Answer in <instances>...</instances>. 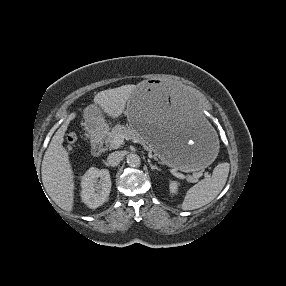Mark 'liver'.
Segmentation results:
<instances>
[{"label":"liver","mask_w":286,"mask_h":286,"mask_svg":"<svg viewBox=\"0 0 286 286\" xmlns=\"http://www.w3.org/2000/svg\"><path fill=\"white\" fill-rule=\"evenodd\" d=\"M135 89L136 85H123L104 90L95 96L94 102L109 117L117 118L124 112L126 103ZM70 120H67L52 137L41 167L42 182L47 194L65 211H71L74 205V175L69 152L63 146Z\"/></svg>","instance_id":"obj_1"}]
</instances>
